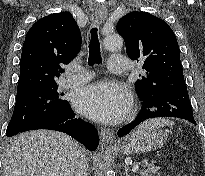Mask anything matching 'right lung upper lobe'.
Masks as SVG:
<instances>
[{"mask_svg": "<svg viewBox=\"0 0 205 176\" xmlns=\"http://www.w3.org/2000/svg\"><path fill=\"white\" fill-rule=\"evenodd\" d=\"M80 46V30L69 12L38 20L23 44L17 95L56 86L62 67L73 60Z\"/></svg>", "mask_w": 205, "mask_h": 176, "instance_id": "obj_1", "label": "right lung upper lobe"}]
</instances>
